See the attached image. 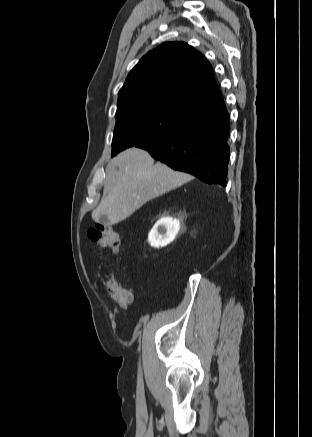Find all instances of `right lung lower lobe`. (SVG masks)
I'll return each mask as SVG.
<instances>
[{
	"mask_svg": "<svg viewBox=\"0 0 312 437\" xmlns=\"http://www.w3.org/2000/svg\"><path fill=\"white\" fill-rule=\"evenodd\" d=\"M229 132V116L222 98L195 112L192 119L173 134L139 147L175 170L225 187Z\"/></svg>",
	"mask_w": 312,
	"mask_h": 437,
	"instance_id": "right-lung-lower-lobe-1",
	"label": "right lung lower lobe"
}]
</instances>
